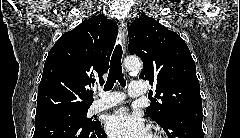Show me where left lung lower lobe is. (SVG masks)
Segmentation results:
<instances>
[{
  "mask_svg": "<svg viewBox=\"0 0 240 138\" xmlns=\"http://www.w3.org/2000/svg\"><path fill=\"white\" fill-rule=\"evenodd\" d=\"M202 106H188L173 112L161 125L169 138H204Z\"/></svg>",
  "mask_w": 240,
  "mask_h": 138,
  "instance_id": "left-lung-lower-lobe-1",
  "label": "left lung lower lobe"
}]
</instances>
